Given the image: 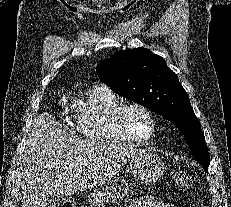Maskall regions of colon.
I'll list each match as a JSON object with an SVG mask.
<instances>
[{
    "label": "colon",
    "mask_w": 231,
    "mask_h": 207,
    "mask_svg": "<svg viewBox=\"0 0 231 207\" xmlns=\"http://www.w3.org/2000/svg\"><path fill=\"white\" fill-rule=\"evenodd\" d=\"M173 178L177 186L181 188H189L191 185V179L187 172L176 171L173 173ZM48 207H76L75 202L72 199H65L59 202L53 203Z\"/></svg>",
    "instance_id": "obj_1"
}]
</instances>
